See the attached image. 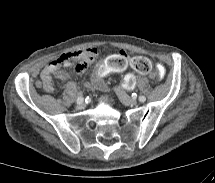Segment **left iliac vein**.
Returning <instances> with one entry per match:
<instances>
[{
    "instance_id": "4c4485c4",
    "label": "left iliac vein",
    "mask_w": 215,
    "mask_h": 183,
    "mask_svg": "<svg viewBox=\"0 0 215 183\" xmlns=\"http://www.w3.org/2000/svg\"><path fill=\"white\" fill-rule=\"evenodd\" d=\"M114 91L117 93V95L120 97L122 102L125 105H136L137 100L133 97H130L126 94V92L121 87H115Z\"/></svg>"
}]
</instances>
